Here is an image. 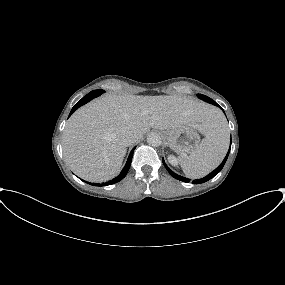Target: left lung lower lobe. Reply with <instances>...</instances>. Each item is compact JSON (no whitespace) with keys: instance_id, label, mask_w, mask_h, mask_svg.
I'll return each instance as SVG.
<instances>
[{"instance_id":"0a47b994","label":"left lung lower lobe","mask_w":285,"mask_h":285,"mask_svg":"<svg viewBox=\"0 0 285 285\" xmlns=\"http://www.w3.org/2000/svg\"><path fill=\"white\" fill-rule=\"evenodd\" d=\"M216 106H218V104H216ZM229 152H230V149H229V151H228L226 157H225L224 160L222 161V163H221L214 171H212L210 174H208V175L205 176L204 178L197 179V180H193L192 183H193V184H201V183H204V182L210 180V179L213 178L215 175H217V174L222 170V168H223V166H224V164H225V162H226V160H227V158H228ZM162 162H163L164 166L166 167V169L168 170V172L170 173V175H171L172 177H174V178L177 179V180L186 182V183L190 182V179L185 178V177H182V176H180V175L174 173V172L166 165V163L164 162V159H162Z\"/></svg>"}]
</instances>
